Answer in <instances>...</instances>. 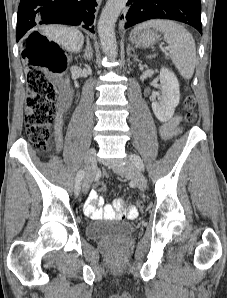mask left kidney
Segmentation results:
<instances>
[{"label": "left kidney", "instance_id": "5707ae66", "mask_svg": "<svg viewBox=\"0 0 227 298\" xmlns=\"http://www.w3.org/2000/svg\"><path fill=\"white\" fill-rule=\"evenodd\" d=\"M161 98L152 103V109L158 120L166 122L174 115L179 104V83L175 74L167 68L160 70Z\"/></svg>", "mask_w": 227, "mask_h": 298}]
</instances>
